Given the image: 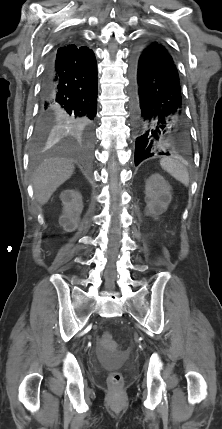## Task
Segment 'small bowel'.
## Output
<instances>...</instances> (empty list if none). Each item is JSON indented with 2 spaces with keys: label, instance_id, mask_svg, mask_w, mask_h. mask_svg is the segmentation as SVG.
I'll use <instances>...</instances> for the list:
<instances>
[{
  "label": "small bowel",
  "instance_id": "obj_1",
  "mask_svg": "<svg viewBox=\"0 0 222 429\" xmlns=\"http://www.w3.org/2000/svg\"><path fill=\"white\" fill-rule=\"evenodd\" d=\"M99 353L103 358H109V351L105 347L101 346L99 347Z\"/></svg>",
  "mask_w": 222,
  "mask_h": 429
}]
</instances>
